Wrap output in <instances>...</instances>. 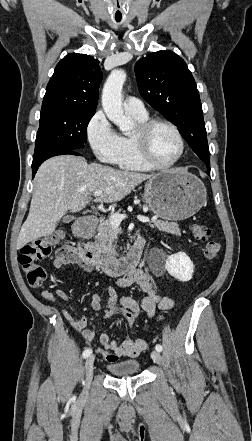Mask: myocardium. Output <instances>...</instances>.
I'll return each mask as SVG.
<instances>
[{
	"mask_svg": "<svg viewBox=\"0 0 252 441\" xmlns=\"http://www.w3.org/2000/svg\"><path fill=\"white\" fill-rule=\"evenodd\" d=\"M158 126H165L170 128L173 131V133L176 135L180 144V150L178 155L168 163L162 164L156 162L153 159L150 152L149 138L153 130ZM133 139L140 159L152 169H167L176 165L182 159L186 150L185 140L180 130L175 124L167 120L154 119L139 124L136 132L133 135Z\"/></svg>",
	"mask_w": 252,
	"mask_h": 441,
	"instance_id": "obj_1",
	"label": "myocardium"
}]
</instances>
